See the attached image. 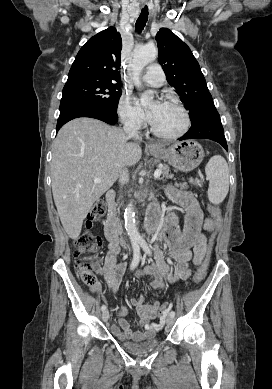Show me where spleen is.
Instances as JSON below:
<instances>
[{"label": "spleen", "instance_id": "1", "mask_svg": "<svg viewBox=\"0 0 272 389\" xmlns=\"http://www.w3.org/2000/svg\"><path fill=\"white\" fill-rule=\"evenodd\" d=\"M209 179L208 198L213 204H220L229 191V169L221 155L213 156L205 167Z\"/></svg>", "mask_w": 272, "mask_h": 389}]
</instances>
